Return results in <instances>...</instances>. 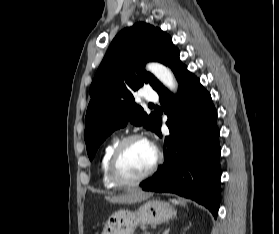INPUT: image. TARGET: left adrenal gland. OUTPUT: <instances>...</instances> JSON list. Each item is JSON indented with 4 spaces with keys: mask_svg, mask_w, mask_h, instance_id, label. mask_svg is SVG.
I'll return each mask as SVG.
<instances>
[{
    "mask_svg": "<svg viewBox=\"0 0 279 234\" xmlns=\"http://www.w3.org/2000/svg\"><path fill=\"white\" fill-rule=\"evenodd\" d=\"M168 233H169V229L165 230L163 234H168Z\"/></svg>",
    "mask_w": 279,
    "mask_h": 234,
    "instance_id": "obj_1",
    "label": "left adrenal gland"
}]
</instances>
